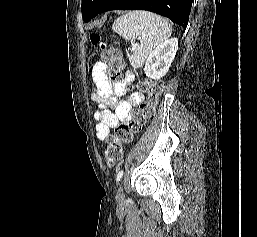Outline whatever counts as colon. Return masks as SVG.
<instances>
[{
    "label": "colon",
    "mask_w": 257,
    "mask_h": 237,
    "mask_svg": "<svg viewBox=\"0 0 257 237\" xmlns=\"http://www.w3.org/2000/svg\"><path fill=\"white\" fill-rule=\"evenodd\" d=\"M90 40L93 45H98L101 48L102 59L108 63V78L114 83L122 82L123 63L121 52L103 43L97 33H91ZM141 88L146 92L147 100L140 105L130 120L115 126L113 133L107 138L105 159L109 167H114L122 160L123 146L131 143L134 136L142 130L143 126L154 118L156 107L165 85L162 81H144L141 84Z\"/></svg>",
    "instance_id": "colon-1"
}]
</instances>
